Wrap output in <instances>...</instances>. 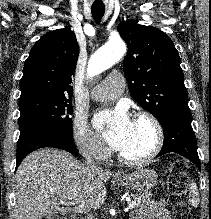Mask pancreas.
Segmentation results:
<instances>
[{
	"instance_id": "obj_1",
	"label": "pancreas",
	"mask_w": 211,
	"mask_h": 219,
	"mask_svg": "<svg viewBox=\"0 0 211 219\" xmlns=\"http://www.w3.org/2000/svg\"><path fill=\"white\" fill-rule=\"evenodd\" d=\"M130 197L135 202V206L138 207L145 204H149L151 202L152 194L145 192L142 194H131Z\"/></svg>"
}]
</instances>
